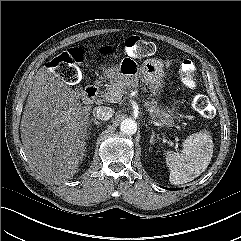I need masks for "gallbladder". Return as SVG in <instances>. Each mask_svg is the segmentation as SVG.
I'll return each instance as SVG.
<instances>
[{
	"mask_svg": "<svg viewBox=\"0 0 241 241\" xmlns=\"http://www.w3.org/2000/svg\"><path fill=\"white\" fill-rule=\"evenodd\" d=\"M78 92L80 93V92H82V89L80 88V89H78Z\"/></svg>",
	"mask_w": 241,
	"mask_h": 241,
	"instance_id": "1",
	"label": "gallbladder"
}]
</instances>
